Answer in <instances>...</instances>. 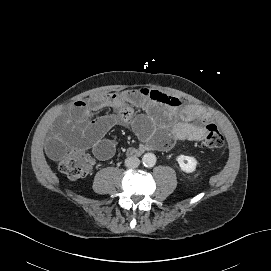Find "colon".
I'll return each mask as SVG.
<instances>
[{"instance_id":"colon-1","label":"colon","mask_w":271,"mask_h":271,"mask_svg":"<svg viewBox=\"0 0 271 271\" xmlns=\"http://www.w3.org/2000/svg\"><path fill=\"white\" fill-rule=\"evenodd\" d=\"M203 145L209 149L219 148L224 138L218 128L211 123L205 125ZM61 171L71 179L85 177L91 172V159L82 150H73L65 155L59 163Z\"/></svg>"}]
</instances>
